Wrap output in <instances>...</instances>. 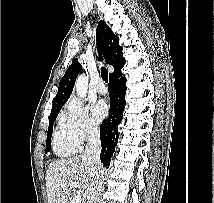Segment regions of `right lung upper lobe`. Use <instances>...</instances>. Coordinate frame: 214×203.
<instances>
[{
    "label": "right lung upper lobe",
    "instance_id": "obj_1",
    "mask_svg": "<svg viewBox=\"0 0 214 203\" xmlns=\"http://www.w3.org/2000/svg\"><path fill=\"white\" fill-rule=\"evenodd\" d=\"M96 40L98 52L104 57L107 64L114 67V72L110 76L119 73L125 64V59L122 57L123 48L119 46V38L114 35L110 27L103 20L98 23ZM81 68L78 60L74 59L66 70L65 75L59 83L58 92L53 101L50 115L58 113L70 97L76 77Z\"/></svg>",
    "mask_w": 214,
    "mask_h": 203
}]
</instances>
